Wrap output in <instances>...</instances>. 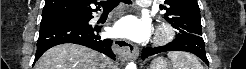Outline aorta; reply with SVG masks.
Here are the masks:
<instances>
[{"mask_svg": "<svg viewBox=\"0 0 246 69\" xmlns=\"http://www.w3.org/2000/svg\"><path fill=\"white\" fill-rule=\"evenodd\" d=\"M137 67H136V64L134 63V62H130L128 65H127V67H126V69H136Z\"/></svg>", "mask_w": 246, "mask_h": 69, "instance_id": "aorta-1", "label": "aorta"}]
</instances>
